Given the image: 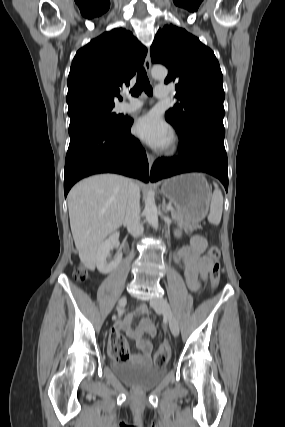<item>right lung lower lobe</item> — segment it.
Listing matches in <instances>:
<instances>
[{"mask_svg":"<svg viewBox=\"0 0 285 427\" xmlns=\"http://www.w3.org/2000/svg\"><path fill=\"white\" fill-rule=\"evenodd\" d=\"M132 120L119 128L84 125L70 134L65 160L64 193L80 179L99 173H118L148 182V160L138 139L130 133Z\"/></svg>","mask_w":285,"mask_h":427,"instance_id":"right-lung-lower-lobe-1","label":"right lung lower lobe"}]
</instances>
